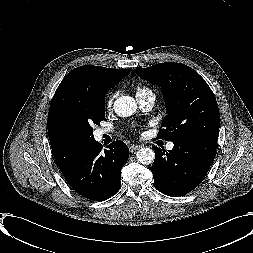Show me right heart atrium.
<instances>
[{"label":"right heart atrium","instance_id":"d8ad5b80","mask_svg":"<svg viewBox=\"0 0 253 253\" xmlns=\"http://www.w3.org/2000/svg\"><path fill=\"white\" fill-rule=\"evenodd\" d=\"M116 97H117V93H116V92H113V93H111V94L108 96V98H107V100H106V106H107L108 108H110V107L113 105L114 100L116 99Z\"/></svg>","mask_w":253,"mask_h":253}]
</instances>
